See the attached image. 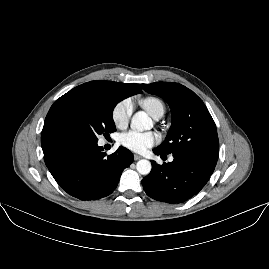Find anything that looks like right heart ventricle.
I'll return each instance as SVG.
<instances>
[{"instance_id":"1","label":"right heart ventricle","mask_w":269,"mask_h":269,"mask_svg":"<svg viewBox=\"0 0 269 269\" xmlns=\"http://www.w3.org/2000/svg\"><path fill=\"white\" fill-rule=\"evenodd\" d=\"M142 105L151 116H154L159 110L164 111L162 102L154 97H147L143 99Z\"/></svg>"}]
</instances>
